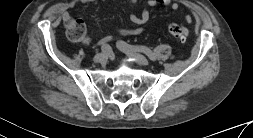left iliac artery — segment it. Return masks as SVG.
Masks as SVG:
<instances>
[{"mask_svg": "<svg viewBox=\"0 0 253 138\" xmlns=\"http://www.w3.org/2000/svg\"><path fill=\"white\" fill-rule=\"evenodd\" d=\"M118 47L122 48L124 50H131V51H138V52H143L146 54L152 61L156 60L155 54L147 47L145 46H138V45H130L124 41H119Z\"/></svg>", "mask_w": 253, "mask_h": 138, "instance_id": "obj_1", "label": "left iliac artery"}]
</instances>
